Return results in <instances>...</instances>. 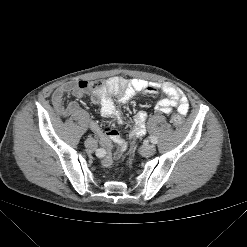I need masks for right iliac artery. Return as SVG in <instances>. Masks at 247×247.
I'll return each mask as SVG.
<instances>
[{
  "mask_svg": "<svg viewBox=\"0 0 247 247\" xmlns=\"http://www.w3.org/2000/svg\"><path fill=\"white\" fill-rule=\"evenodd\" d=\"M96 155H97L98 158L103 159L107 155V150L104 147H99L96 150Z\"/></svg>",
  "mask_w": 247,
  "mask_h": 247,
  "instance_id": "82829eb1",
  "label": "right iliac artery"
}]
</instances>
